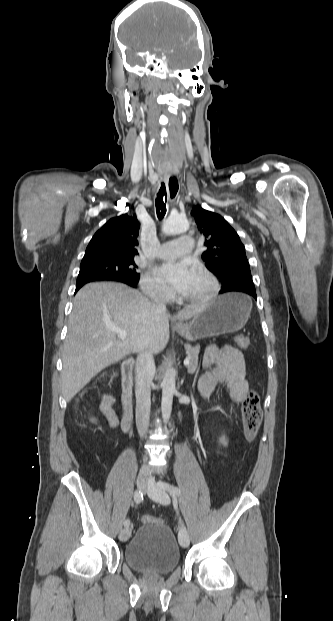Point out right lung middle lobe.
<instances>
[{
    "instance_id": "dd1d6c3e",
    "label": "right lung middle lobe",
    "mask_w": 333,
    "mask_h": 621,
    "mask_svg": "<svg viewBox=\"0 0 333 621\" xmlns=\"http://www.w3.org/2000/svg\"><path fill=\"white\" fill-rule=\"evenodd\" d=\"M136 268L133 257L82 259L78 279L89 277L137 284L140 274L136 272Z\"/></svg>"
}]
</instances>
